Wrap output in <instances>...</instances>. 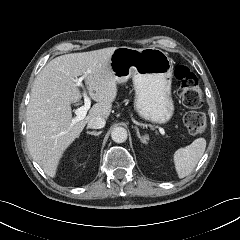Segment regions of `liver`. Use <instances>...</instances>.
Here are the masks:
<instances>
[{"mask_svg": "<svg viewBox=\"0 0 240 240\" xmlns=\"http://www.w3.org/2000/svg\"><path fill=\"white\" fill-rule=\"evenodd\" d=\"M116 47L66 54L51 60L36 77L27 106V145L44 172L55 177L64 151L94 117L107 119L117 95L110 68ZM85 77L90 97L97 103L88 115L71 126V104L81 100L75 78Z\"/></svg>", "mask_w": 240, "mask_h": 240, "instance_id": "6515ba94", "label": "liver"}]
</instances>
